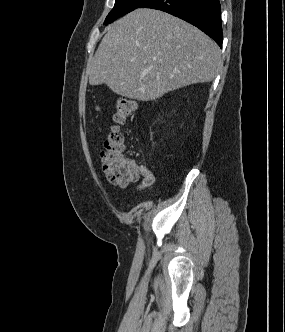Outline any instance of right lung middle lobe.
<instances>
[{
	"label": "right lung middle lobe",
	"mask_w": 285,
	"mask_h": 332,
	"mask_svg": "<svg viewBox=\"0 0 285 332\" xmlns=\"http://www.w3.org/2000/svg\"><path fill=\"white\" fill-rule=\"evenodd\" d=\"M146 0H116L114 8L110 11L105 19L104 24H109L118 17H121L130 11L138 8Z\"/></svg>",
	"instance_id": "obj_1"
}]
</instances>
